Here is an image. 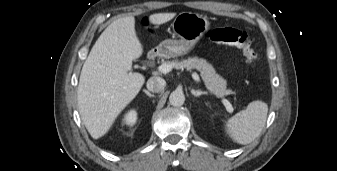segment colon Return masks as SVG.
Returning a JSON list of instances; mask_svg holds the SVG:
<instances>
[{
	"label": "colon",
	"mask_w": 337,
	"mask_h": 171,
	"mask_svg": "<svg viewBox=\"0 0 337 171\" xmlns=\"http://www.w3.org/2000/svg\"><path fill=\"white\" fill-rule=\"evenodd\" d=\"M144 25L147 23L144 22ZM208 38L217 44L237 46L250 63L254 64L257 61V54L246 31L232 27H219L210 30Z\"/></svg>",
	"instance_id": "1"
}]
</instances>
